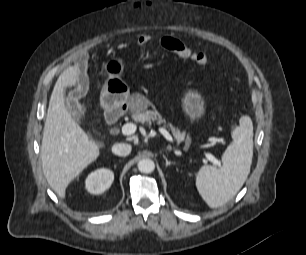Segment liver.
Instances as JSON below:
<instances>
[{
	"instance_id": "liver-1",
	"label": "liver",
	"mask_w": 306,
	"mask_h": 255,
	"mask_svg": "<svg viewBox=\"0 0 306 255\" xmlns=\"http://www.w3.org/2000/svg\"><path fill=\"white\" fill-rule=\"evenodd\" d=\"M79 65L68 67L59 76L47 111L41 159L44 176L59 197L89 164L95 161L100 150L87 133L71 117L64 102V88L79 80Z\"/></svg>"
}]
</instances>
